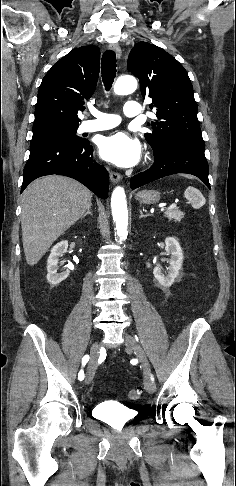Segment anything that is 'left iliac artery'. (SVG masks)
<instances>
[{
    "label": "left iliac artery",
    "instance_id": "44dca946",
    "mask_svg": "<svg viewBox=\"0 0 236 486\" xmlns=\"http://www.w3.org/2000/svg\"><path fill=\"white\" fill-rule=\"evenodd\" d=\"M135 337H136V340H138V337L137 336H135ZM151 378L154 379L153 377H151Z\"/></svg>",
    "mask_w": 236,
    "mask_h": 486
}]
</instances>
